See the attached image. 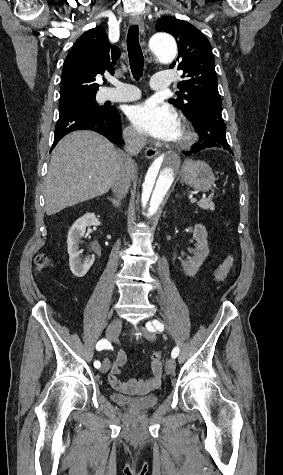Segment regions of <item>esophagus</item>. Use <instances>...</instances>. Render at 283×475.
Instances as JSON below:
<instances>
[{"label":"esophagus","instance_id":"1","mask_svg":"<svg viewBox=\"0 0 283 475\" xmlns=\"http://www.w3.org/2000/svg\"><path fill=\"white\" fill-rule=\"evenodd\" d=\"M129 22H130L131 25L138 26L139 29H140L141 34L144 33V21H143L141 15H132L129 18ZM158 154H159V150L157 148L149 147L145 150V156H146L147 159H153ZM168 158H170L171 160H173L175 162L179 161V157L174 156V155L169 154Z\"/></svg>","mask_w":283,"mask_h":475}]
</instances>
